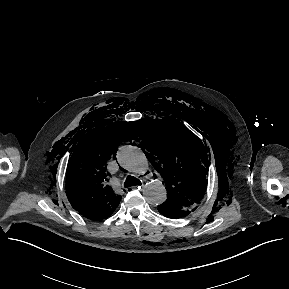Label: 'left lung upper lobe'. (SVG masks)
<instances>
[{
	"mask_svg": "<svg viewBox=\"0 0 289 289\" xmlns=\"http://www.w3.org/2000/svg\"><path fill=\"white\" fill-rule=\"evenodd\" d=\"M137 124L141 147L168 187L161 205L190 214L207 187L208 158L201 140L177 120L145 118Z\"/></svg>",
	"mask_w": 289,
	"mask_h": 289,
	"instance_id": "obj_1",
	"label": "left lung upper lobe"
}]
</instances>
